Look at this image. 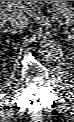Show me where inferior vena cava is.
I'll return each mask as SVG.
<instances>
[{
  "instance_id": "inferior-vena-cava-1",
  "label": "inferior vena cava",
  "mask_w": 74,
  "mask_h": 122,
  "mask_svg": "<svg viewBox=\"0 0 74 122\" xmlns=\"http://www.w3.org/2000/svg\"><path fill=\"white\" fill-rule=\"evenodd\" d=\"M10 25L15 28L19 29L20 31L28 28L29 26V18L24 13L16 12L8 18Z\"/></svg>"
}]
</instances>
